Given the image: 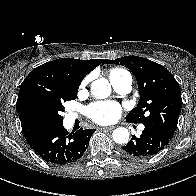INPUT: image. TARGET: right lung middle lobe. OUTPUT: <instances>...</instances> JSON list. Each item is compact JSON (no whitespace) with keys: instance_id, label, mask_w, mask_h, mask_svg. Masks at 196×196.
I'll return each instance as SVG.
<instances>
[{"instance_id":"1","label":"right lung middle lobe","mask_w":196,"mask_h":196,"mask_svg":"<svg viewBox=\"0 0 196 196\" xmlns=\"http://www.w3.org/2000/svg\"><path fill=\"white\" fill-rule=\"evenodd\" d=\"M78 89L39 93L31 101V109L35 116L43 122L46 129L63 124V103L74 100Z\"/></svg>"}]
</instances>
